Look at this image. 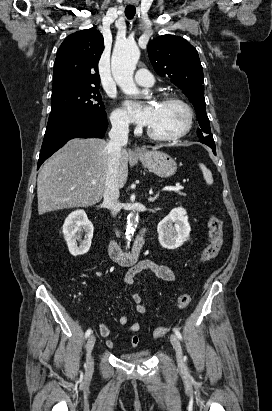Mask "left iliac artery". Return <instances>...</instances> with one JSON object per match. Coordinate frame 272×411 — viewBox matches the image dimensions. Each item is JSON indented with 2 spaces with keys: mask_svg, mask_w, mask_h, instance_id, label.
Instances as JSON below:
<instances>
[{
  "mask_svg": "<svg viewBox=\"0 0 272 411\" xmlns=\"http://www.w3.org/2000/svg\"><path fill=\"white\" fill-rule=\"evenodd\" d=\"M174 333L176 334V336H177L179 339H182V335H181L180 331H179L177 328H174Z\"/></svg>",
  "mask_w": 272,
  "mask_h": 411,
  "instance_id": "1",
  "label": "left iliac artery"
}]
</instances>
